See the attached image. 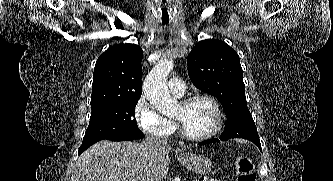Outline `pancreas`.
Returning <instances> with one entry per match:
<instances>
[{
    "label": "pancreas",
    "instance_id": "obj_1",
    "mask_svg": "<svg viewBox=\"0 0 333 181\" xmlns=\"http://www.w3.org/2000/svg\"><path fill=\"white\" fill-rule=\"evenodd\" d=\"M208 181H219V180H217V179H209Z\"/></svg>",
    "mask_w": 333,
    "mask_h": 181
}]
</instances>
